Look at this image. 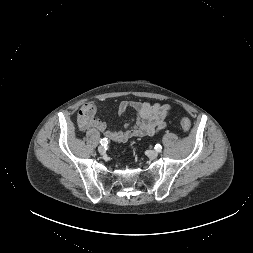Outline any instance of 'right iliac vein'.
<instances>
[{
  "label": "right iliac vein",
  "instance_id": "1",
  "mask_svg": "<svg viewBox=\"0 0 253 253\" xmlns=\"http://www.w3.org/2000/svg\"><path fill=\"white\" fill-rule=\"evenodd\" d=\"M98 151H99V153H100L101 155H104V154L106 153V151H105V149H104L103 146H99V147H98Z\"/></svg>",
  "mask_w": 253,
  "mask_h": 253
}]
</instances>
